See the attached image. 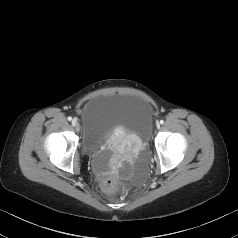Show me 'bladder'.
Returning <instances> with one entry per match:
<instances>
[{
    "label": "bladder",
    "mask_w": 238,
    "mask_h": 238,
    "mask_svg": "<svg viewBox=\"0 0 238 238\" xmlns=\"http://www.w3.org/2000/svg\"><path fill=\"white\" fill-rule=\"evenodd\" d=\"M152 105L143 97L125 93L100 94L89 99L81 112L82 147L98 174L110 170V153L101 150L115 134L147 139L152 130Z\"/></svg>",
    "instance_id": "bladder-1"
}]
</instances>
